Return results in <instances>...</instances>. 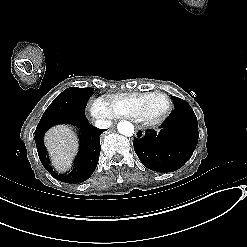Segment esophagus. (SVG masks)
I'll list each match as a JSON object with an SVG mask.
<instances>
[{"instance_id":"obj_1","label":"esophagus","mask_w":247,"mask_h":247,"mask_svg":"<svg viewBox=\"0 0 247 247\" xmlns=\"http://www.w3.org/2000/svg\"><path fill=\"white\" fill-rule=\"evenodd\" d=\"M136 137L137 138H142V137H144V135H145V133L142 131V130H136Z\"/></svg>"}]
</instances>
